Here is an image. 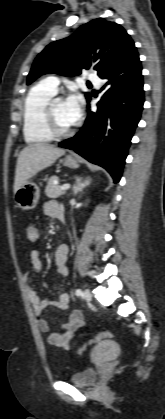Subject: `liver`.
I'll use <instances>...</instances> for the list:
<instances>
[{
	"instance_id": "obj_1",
	"label": "liver",
	"mask_w": 165,
	"mask_h": 419,
	"mask_svg": "<svg viewBox=\"0 0 165 419\" xmlns=\"http://www.w3.org/2000/svg\"><path fill=\"white\" fill-rule=\"evenodd\" d=\"M65 150L46 143L30 144L17 159L14 193L39 171L51 166Z\"/></svg>"
}]
</instances>
